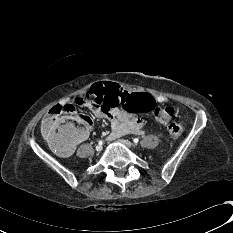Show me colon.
Wrapping results in <instances>:
<instances>
[{"label": "colon", "mask_w": 233, "mask_h": 233, "mask_svg": "<svg viewBox=\"0 0 233 233\" xmlns=\"http://www.w3.org/2000/svg\"><path fill=\"white\" fill-rule=\"evenodd\" d=\"M89 95L96 104L100 103L106 108L119 107L137 114L151 112L153 118L161 122L170 121L175 112L173 107L157 106L151 94L130 90L112 80L94 83L89 90ZM75 112L76 107L72 104L56 105L42 124L44 136L62 156H67L74 143L87 137L91 130V121L87 116H75L70 121L64 122V115H73ZM167 131L171 137L177 138L181 136L183 128L179 123L171 122L167 126Z\"/></svg>", "instance_id": "1"}]
</instances>
